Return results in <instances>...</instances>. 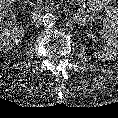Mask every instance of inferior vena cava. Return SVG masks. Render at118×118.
Segmentation results:
<instances>
[{
  "mask_svg": "<svg viewBox=\"0 0 118 118\" xmlns=\"http://www.w3.org/2000/svg\"><path fill=\"white\" fill-rule=\"evenodd\" d=\"M41 24V21H36V25H40Z\"/></svg>",
  "mask_w": 118,
  "mask_h": 118,
  "instance_id": "obj_1",
  "label": "inferior vena cava"
}]
</instances>
